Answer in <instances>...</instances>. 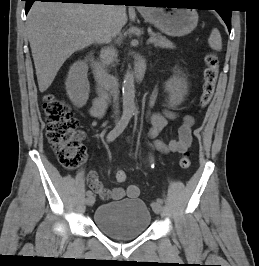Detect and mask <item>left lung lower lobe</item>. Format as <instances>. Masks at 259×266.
<instances>
[{"label": "left lung lower lobe", "mask_w": 259, "mask_h": 266, "mask_svg": "<svg viewBox=\"0 0 259 266\" xmlns=\"http://www.w3.org/2000/svg\"><path fill=\"white\" fill-rule=\"evenodd\" d=\"M173 2H180V3H191V0H153L152 3H162L170 5ZM218 13L220 14L221 18L226 23L229 32L231 31V14L232 11L229 9H217Z\"/></svg>", "instance_id": "left-lung-lower-lobe-1"}]
</instances>
